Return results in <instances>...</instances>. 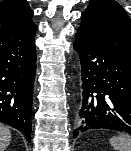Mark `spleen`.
I'll return each mask as SVG.
<instances>
[{"label": "spleen", "instance_id": "3e777b00", "mask_svg": "<svg viewBox=\"0 0 131 151\" xmlns=\"http://www.w3.org/2000/svg\"><path fill=\"white\" fill-rule=\"evenodd\" d=\"M110 144L116 151H131V140L121 136L110 138Z\"/></svg>", "mask_w": 131, "mask_h": 151}]
</instances>
